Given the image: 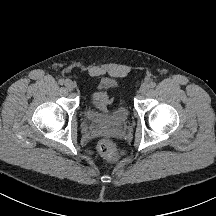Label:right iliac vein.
Masks as SVG:
<instances>
[{
  "instance_id": "right-iliac-vein-1",
  "label": "right iliac vein",
  "mask_w": 216,
  "mask_h": 216,
  "mask_svg": "<svg viewBox=\"0 0 216 216\" xmlns=\"http://www.w3.org/2000/svg\"><path fill=\"white\" fill-rule=\"evenodd\" d=\"M64 85L68 91H72L74 89V83L71 80H66Z\"/></svg>"
}]
</instances>
